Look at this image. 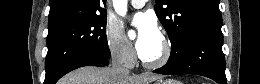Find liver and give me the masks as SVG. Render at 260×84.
Listing matches in <instances>:
<instances>
[{"mask_svg": "<svg viewBox=\"0 0 260 84\" xmlns=\"http://www.w3.org/2000/svg\"><path fill=\"white\" fill-rule=\"evenodd\" d=\"M157 75H119L112 68L82 67L63 77L59 84H149Z\"/></svg>", "mask_w": 260, "mask_h": 84, "instance_id": "obj_1", "label": "liver"}]
</instances>
